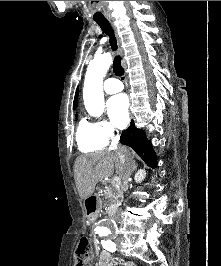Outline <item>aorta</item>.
I'll return each instance as SVG.
<instances>
[{"mask_svg":"<svg viewBox=\"0 0 221 266\" xmlns=\"http://www.w3.org/2000/svg\"><path fill=\"white\" fill-rule=\"evenodd\" d=\"M112 62L110 53L95 56L90 61L83 87V99L87 112L101 116L104 111L103 78ZM102 231H114L112 226L99 227Z\"/></svg>","mask_w":221,"mask_h":266,"instance_id":"aorta-1","label":"aorta"}]
</instances>
